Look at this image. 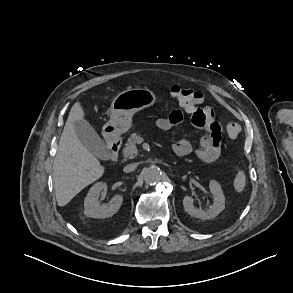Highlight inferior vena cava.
I'll return each instance as SVG.
<instances>
[{
    "label": "inferior vena cava",
    "instance_id": "1",
    "mask_svg": "<svg viewBox=\"0 0 293 293\" xmlns=\"http://www.w3.org/2000/svg\"><path fill=\"white\" fill-rule=\"evenodd\" d=\"M137 167V163H132V164H128L124 167L123 171L125 173H129V172H132L136 169Z\"/></svg>",
    "mask_w": 293,
    "mask_h": 293
}]
</instances>
